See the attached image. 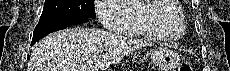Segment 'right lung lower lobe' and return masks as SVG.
<instances>
[{
	"label": "right lung lower lobe",
	"instance_id": "obj_1",
	"mask_svg": "<svg viewBox=\"0 0 230 71\" xmlns=\"http://www.w3.org/2000/svg\"><path fill=\"white\" fill-rule=\"evenodd\" d=\"M88 21H89L88 18L82 17V18H66V19H60L55 21L39 22L33 32V39L31 42V46L35 42L42 39L47 34L53 31L61 30L68 26L82 24Z\"/></svg>",
	"mask_w": 230,
	"mask_h": 71
}]
</instances>
